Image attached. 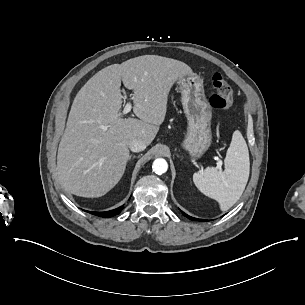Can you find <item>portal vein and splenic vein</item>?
Masks as SVG:
<instances>
[{"mask_svg": "<svg viewBox=\"0 0 305 305\" xmlns=\"http://www.w3.org/2000/svg\"><path fill=\"white\" fill-rule=\"evenodd\" d=\"M131 103H127L126 106L124 107V110H123V114H127L131 111ZM107 127H104V130L106 129ZM221 166H222V161L220 159L217 160V168L218 169H221Z\"/></svg>", "mask_w": 305, "mask_h": 305, "instance_id": "1", "label": "portal vein and splenic vein"}]
</instances>
